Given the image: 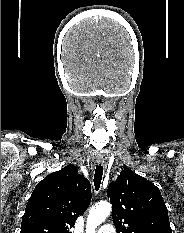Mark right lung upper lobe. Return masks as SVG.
<instances>
[{
  "label": "right lung upper lobe",
  "instance_id": "obj_1",
  "mask_svg": "<svg viewBox=\"0 0 184 233\" xmlns=\"http://www.w3.org/2000/svg\"><path fill=\"white\" fill-rule=\"evenodd\" d=\"M91 202L90 182L67 165L40 181L25 208L20 233H71Z\"/></svg>",
  "mask_w": 184,
  "mask_h": 233
}]
</instances>
